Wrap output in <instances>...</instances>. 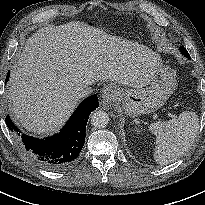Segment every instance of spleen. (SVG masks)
Segmentation results:
<instances>
[{
	"label": "spleen",
	"instance_id": "1",
	"mask_svg": "<svg viewBox=\"0 0 205 205\" xmlns=\"http://www.w3.org/2000/svg\"><path fill=\"white\" fill-rule=\"evenodd\" d=\"M198 129V115L190 111L172 120L154 123L151 132L156 136L155 161L167 165L181 157L195 141Z\"/></svg>",
	"mask_w": 205,
	"mask_h": 205
}]
</instances>
